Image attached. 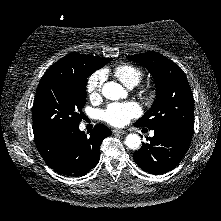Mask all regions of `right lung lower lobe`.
Wrapping results in <instances>:
<instances>
[{
    "mask_svg": "<svg viewBox=\"0 0 221 221\" xmlns=\"http://www.w3.org/2000/svg\"><path fill=\"white\" fill-rule=\"evenodd\" d=\"M110 135L111 130L102 124L96 125L89 135L80 131L78 124L36 142V146L54 171L68 176H84L97 165L101 142Z\"/></svg>",
    "mask_w": 221,
    "mask_h": 221,
    "instance_id": "1",
    "label": "right lung lower lobe"
}]
</instances>
